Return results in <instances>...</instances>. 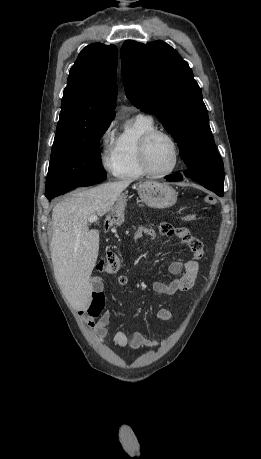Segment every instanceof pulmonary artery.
<instances>
[{"label": "pulmonary artery", "mask_w": 261, "mask_h": 459, "mask_svg": "<svg viewBox=\"0 0 261 459\" xmlns=\"http://www.w3.org/2000/svg\"><path fill=\"white\" fill-rule=\"evenodd\" d=\"M139 116H146V117H150V116H147V115H145V114H139Z\"/></svg>", "instance_id": "1"}]
</instances>
